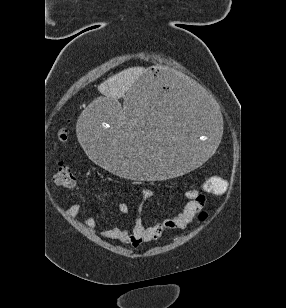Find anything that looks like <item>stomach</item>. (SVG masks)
I'll list each match as a JSON object with an SVG mask.
<instances>
[{
	"mask_svg": "<svg viewBox=\"0 0 286 308\" xmlns=\"http://www.w3.org/2000/svg\"><path fill=\"white\" fill-rule=\"evenodd\" d=\"M204 91H194L173 69H146L117 97H91L80 109L79 142L85 156L127 182H167L203 168L221 144L222 112Z\"/></svg>",
	"mask_w": 286,
	"mask_h": 308,
	"instance_id": "obj_1",
	"label": "stomach"
}]
</instances>
